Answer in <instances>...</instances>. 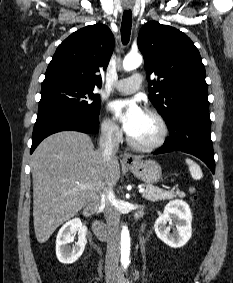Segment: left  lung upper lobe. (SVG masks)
Here are the masks:
<instances>
[{
	"label": "left lung upper lobe",
	"instance_id": "obj_1",
	"mask_svg": "<svg viewBox=\"0 0 233 283\" xmlns=\"http://www.w3.org/2000/svg\"><path fill=\"white\" fill-rule=\"evenodd\" d=\"M138 47L148 75L158 76L149 82V99L167 124L190 112H209L205 67L188 36L150 21L139 32Z\"/></svg>",
	"mask_w": 233,
	"mask_h": 283
}]
</instances>
